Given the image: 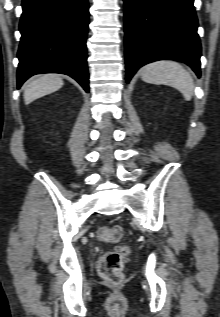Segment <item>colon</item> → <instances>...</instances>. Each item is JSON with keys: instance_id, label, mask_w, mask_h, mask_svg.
Masks as SVG:
<instances>
[{"instance_id": "obj_1", "label": "colon", "mask_w": 220, "mask_h": 317, "mask_svg": "<svg viewBox=\"0 0 220 317\" xmlns=\"http://www.w3.org/2000/svg\"><path fill=\"white\" fill-rule=\"evenodd\" d=\"M98 238L103 242L119 243L123 240L124 233L120 226H103L98 231ZM128 254L129 248L124 245L104 253L98 266L100 277L111 284H120L124 279V262Z\"/></svg>"}]
</instances>
